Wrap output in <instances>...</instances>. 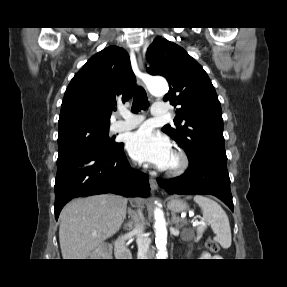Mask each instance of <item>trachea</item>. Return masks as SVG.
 <instances>
[{
  "mask_svg": "<svg viewBox=\"0 0 287 287\" xmlns=\"http://www.w3.org/2000/svg\"><path fill=\"white\" fill-rule=\"evenodd\" d=\"M149 107L148 97L143 87L138 86L134 91L132 112L137 113L140 110H147Z\"/></svg>",
  "mask_w": 287,
  "mask_h": 287,
  "instance_id": "1",
  "label": "trachea"
}]
</instances>
